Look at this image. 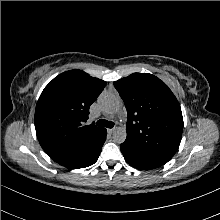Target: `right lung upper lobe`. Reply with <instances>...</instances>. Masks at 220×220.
<instances>
[{"instance_id": "1", "label": "right lung upper lobe", "mask_w": 220, "mask_h": 220, "mask_svg": "<svg viewBox=\"0 0 220 220\" xmlns=\"http://www.w3.org/2000/svg\"><path fill=\"white\" fill-rule=\"evenodd\" d=\"M106 83L81 70L66 71L43 90L35 111V129L43 150L57 163L85 166L106 133L93 124L85 126L89 107Z\"/></svg>"}]
</instances>
